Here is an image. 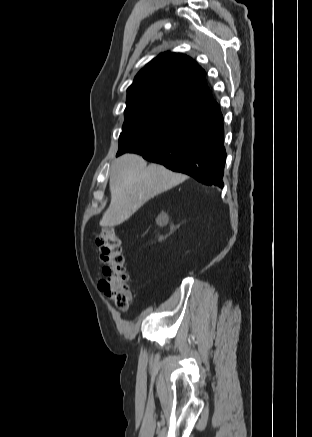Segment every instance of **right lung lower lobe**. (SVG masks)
I'll return each mask as SVG.
<instances>
[{"instance_id": "98d812e1", "label": "right lung lower lobe", "mask_w": 312, "mask_h": 437, "mask_svg": "<svg viewBox=\"0 0 312 437\" xmlns=\"http://www.w3.org/2000/svg\"><path fill=\"white\" fill-rule=\"evenodd\" d=\"M223 117L216 103L200 112L184 129L156 144L129 151L147 160L188 174L206 185L223 188L226 151Z\"/></svg>"}]
</instances>
